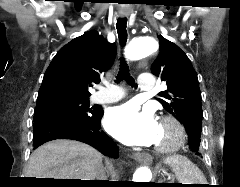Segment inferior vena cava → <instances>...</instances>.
Wrapping results in <instances>:
<instances>
[{"label": "inferior vena cava", "instance_id": "1", "mask_svg": "<svg viewBox=\"0 0 240 187\" xmlns=\"http://www.w3.org/2000/svg\"><path fill=\"white\" fill-rule=\"evenodd\" d=\"M97 180H106V175L103 167L97 173Z\"/></svg>", "mask_w": 240, "mask_h": 187}]
</instances>
